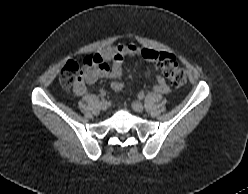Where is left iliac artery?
Here are the masks:
<instances>
[{
  "instance_id": "left-iliac-artery-1",
  "label": "left iliac artery",
  "mask_w": 248,
  "mask_h": 194,
  "mask_svg": "<svg viewBox=\"0 0 248 194\" xmlns=\"http://www.w3.org/2000/svg\"><path fill=\"white\" fill-rule=\"evenodd\" d=\"M144 97H145L144 93H139V94H138V98H139L140 100L144 99Z\"/></svg>"
}]
</instances>
